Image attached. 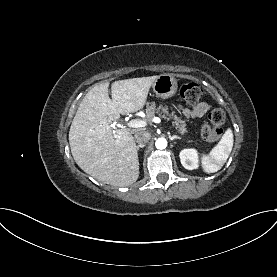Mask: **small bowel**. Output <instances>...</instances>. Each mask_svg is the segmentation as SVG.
<instances>
[{
	"instance_id": "1",
	"label": "small bowel",
	"mask_w": 277,
	"mask_h": 277,
	"mask_svg": "<svg viewBox=\"0 0 277 277\" xmlns=\"http://www.w3.org/2000/svg\"><path fill=\"white\" fill-rule=\"evenodd\" d=\"M210 104L206 101L196 104L192 110L182 109V113L186 117L200 118L202 117L208 109H210Z\"/></svg>"
}]
</instances>
